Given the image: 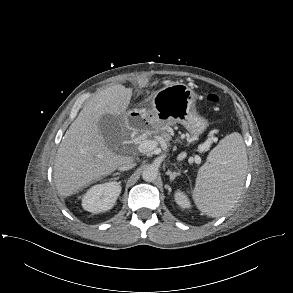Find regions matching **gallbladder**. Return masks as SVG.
<instances>
[{
    "instance_id": "gallbladder-1",
    "label": "gallbladder",
    "mask_w": 293,
    "mask_h": 293,
    "mask_svg": "<svg viewBox=\"0 0 293 293\" xmlns=\"http://www.w3.org/2000/svg\"><path fill=\"white\" fill-rule=\"evenodd\" d=\"M100 132L106 143L112 146L119 141L121 126L117 116L105 114L99 121Z\"/></svg>"
}]
</instances>
